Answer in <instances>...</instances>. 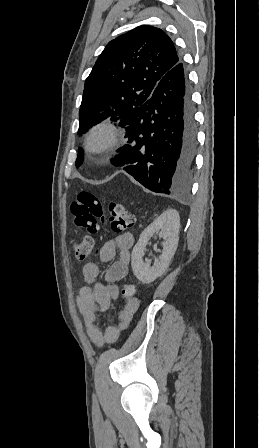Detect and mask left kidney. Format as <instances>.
Returning a JSON list of instances; mask_svg holds the SVG:
<instances>
[{"instance_id":"1","label":"left kidney","mask_w":259,"mask_h":448,"mask_svg":"<svg viewBox=\"0 0 259 448\" xmlns=\"http://www.w3.org/2000/svg\"><path fill=\"white\" fill-rule=\"evenodd\" d=\"M179 228L180 218L177 210H166L140 234L139 242L134 246L131 258L133 274L138 278L139 282L151 284L156 278H160V276L165 274L171 258H173L177 250ZM159 230H161L160 238L165 240L162 254L159 256V260H155L154 266H149V264L143 262L144 250L148 240Z\"/></svg>"}]
</instances>
